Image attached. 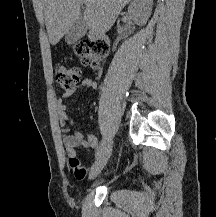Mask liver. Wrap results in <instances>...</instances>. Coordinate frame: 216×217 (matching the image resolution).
<instances>
[{"mask_svg":"<svg viewBox=\"0 0 216 217\" xmlns=\"http://www.w3.org/2000/svg\"><path fill=\"white\" fill-rule=\"evenodd\" d=\"M129 2L130 0H43L50 43L56 45L68 32L80 17L83 3L87 6L82 18L84 26L96 33H105Z\"/></svg>","mask_w":216,"mask_h":217,"instance_id":"1","label":"liver"}]
</instances>
